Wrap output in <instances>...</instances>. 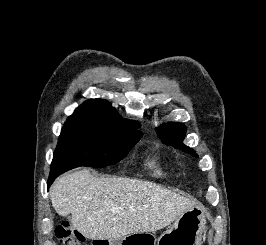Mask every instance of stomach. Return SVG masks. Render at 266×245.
<instances>
[{"label":"stomach","mask_w":266,"mask_h":245,"mask_svg":"<svg viewBox=\"0 0 266 245\" xmlns=\"http://www.w3.org/2000/svg\"><path fill=\"white\" fill-rule=\"evenodd\" d=\"M206 219L199 207H192L156 239L153 233H132L109 245H201Z\"/></svg>","instance_id":"1"}]
</instances>
